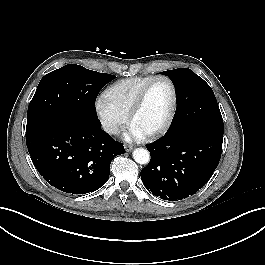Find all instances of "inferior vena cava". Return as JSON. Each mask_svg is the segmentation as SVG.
<instances>
[{"label": "inferior vena cava", "instance_id": "602c4592", "mask_svg": "<svg viewBox=\"0 0 265 265\" xmlns=\"http://www.w3.org/2000/svg\"><path fill=\"white\" fill-rule=\"evenodd\" d=\"M103 129L109 134H117L119 133V128L116 124H113L111 122H104L103 123Z\"/></svg>", "mask_w": 265, "mask_h": 265}]
</instances>
